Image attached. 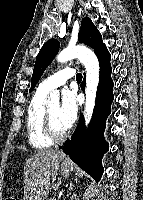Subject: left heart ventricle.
I'll use <instances>...</instances> for the list:
<instances>
[{"label": "left heart ventricle", "instance_id": "1", "mask_svg": "<svg viewBox=\"0 0 143 200\" xmlns=\"http://www.w3.org/2000/svg\"><path fill=\"white\" fill-rule=\"evenodd\" d=\"M59 108H60L59 105H53V106H50L48 109H49L51 123H52V127H53L54 131L58 134H61L64 131H66L67 128L62 123V121L59 117Z\"/></svg>", "mask_w": 143, "mask_h": 200}]
</instances>
